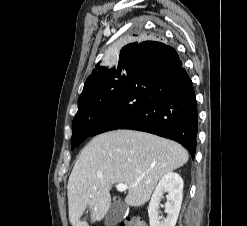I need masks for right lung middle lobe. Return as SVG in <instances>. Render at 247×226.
Segmentation results:
<instances>
[{"label":"right lung middle lobe","mask_w":247,"mask_h":226,"mask_svg":"<svg viewBox=\"0 0 247 226\" xmlns=\"http://www.w3.org/2000/svg\"><path fill=\"white\" fill-rule=\"evenodd\" d=\"M131 57L120 52L118 70H105L102 67L95 84L82 93L78 99V112L72 123V146L71 149L82 143L91 136L93 130L107 112L118 93L121 90L125 75L122 73L128 70Z\"/></svg>","instance_id":"right-lung-middle-lobe-1"}]
</instances>
